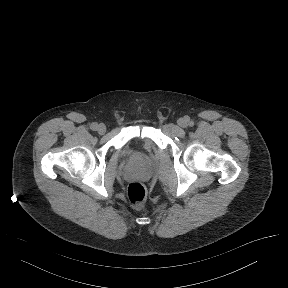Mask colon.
Returning a JSON list of instances; mask_svg holds the SVG:
<instances>
[{
  "label": "colon",
  "mask_w": 288,
  "mask_h": 288,
  "mask_svg": "<svg viewBox=\"0 0 288 288\" xmlns=\"http://www.w3.org/2000/svg\"><path fill=\"white\" fill-rule=\"evenodd\" d=\"M147 196L146 188L137 181L131 182L127 187V197L130 205L140 210L145 204Z\"/></svg>",
  "instance_id": "obj_1"
}]
</instances>
